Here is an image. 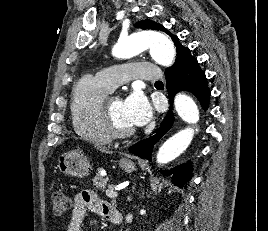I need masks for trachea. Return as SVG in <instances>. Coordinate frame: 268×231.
Returning a JSON list of instances; mask_svg holds the SVG:
<instances>
[{"label":"trachea","mask_w":268,"mask_h":231,"mask_svg":"<svg viewBox=\"0 0 268 231\" xmlns=\"http://www.w3.org/2000/svg\"><path fill=\"white\" fill-rule=\"evenodd\" d=\"M156 83H161V81H157Z\"/></svg>","instance_id":"trachea-1"}]
</instances>
